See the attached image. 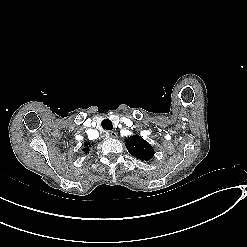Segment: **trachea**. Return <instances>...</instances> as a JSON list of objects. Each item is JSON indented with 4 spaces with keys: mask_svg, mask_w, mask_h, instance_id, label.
Returning <instances> with one entry per match:
<instances>
[{
    "mask_svg": "<svg viewBox=\"0 0 247 247\" xmlns=\"http://www.w3.org/2000/svg\"><path fill=\"white\" fill-rule=\"evenodd\" d=\"M102 127H103L104 130H112L113 124H112L111 120L104 119L102 121Z\"/></svg>",
    "mask_w": 247,
    "mask_h": 247,
    "instance_id": "obj_1",
    "label": "trachea"
}]
</instances>
